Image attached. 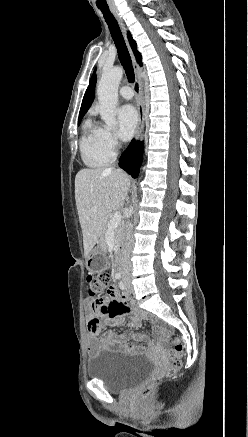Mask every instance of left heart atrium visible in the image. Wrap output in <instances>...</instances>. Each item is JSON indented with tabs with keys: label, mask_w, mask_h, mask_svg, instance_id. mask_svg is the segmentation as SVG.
Listing matches in <instances>:
<instances>
[{
	"label": "left heart atrium",
	"mask_w": 248,
	"mask_h": 437,
	"mask_svg": "<svg viewBox=\"0 0 248 437\" xmlns=\"http://www.w3.org/2000/svg\"><path fill=\"white\" fill-rule=\"evenodd\" d=\"M118 134L123 140H128L133 135L137 124L138 114L132 105H124L117 112Z\"/></svg>",
	"instance_id": "39dd6f15"
}]
</instances>
